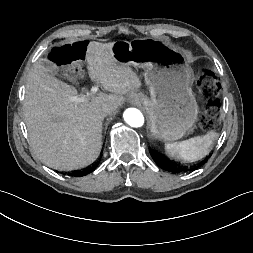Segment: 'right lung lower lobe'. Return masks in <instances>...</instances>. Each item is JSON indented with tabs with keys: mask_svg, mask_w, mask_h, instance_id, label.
I'll return each instance as SVG.
<instances>
[{
	"mask_svg": "<svg viewBox=\"0 0 253 253\" xmlns=\"http://www.w3.org/2000/svg\"><path fill=\"white\" fill-rule=\"evenodd\" d=\"M95 168H96V166H93V167L87 169L86 171L75 172V173L72 174V176L78 177V176L87 175V174L91 173L92 171H94Z\"/></svg>",
	"mask_w": 253,
	"mask_h": 253,
	"instance_id": "98d812e1",
	"label": "right lung lower lobe"
}]
</instances>
